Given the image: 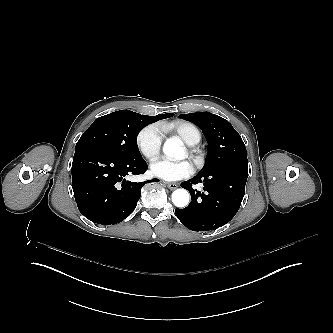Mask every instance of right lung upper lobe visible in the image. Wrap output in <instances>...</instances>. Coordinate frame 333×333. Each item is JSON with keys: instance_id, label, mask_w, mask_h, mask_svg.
<instances>
[{"instance_id": "cb5924a9", "label": "right lung upper lobe", "mask_w": 333, "mask_h": 333, "mask_svg": "<svg viewBox=\"0 0 333 333\" xmlns=\"http://www.w3.org/2000/svg\"><path fill=\"white\" fill-rule=\"evenodd\" d=\"M174 114L173 113H168V114H160V115H156V116H149L150 119L154 122L158 121V120H161V119H165V118H169L167 116H173Z\"/></svg>"}]
</instances>
